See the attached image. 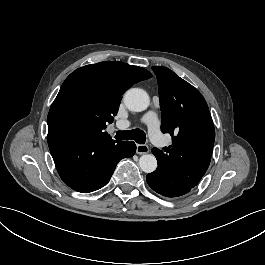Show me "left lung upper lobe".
<instances>
[{"instance_id": "1", "label": "left lung upper lobe", "mask_w": 265, "mask_h": 265, "mask_svg": "<svg viewBox=\"0 0 265 265\" xmlns=\"http://www.w3.org/2000/svg\"><path fill=\"white\" fill-rule=\"evenodd\" d=\"M157 76L162 114L161 130L172 145L152 153L161 166L195 187L206 173L212 156L215 129L202 94L172 70L152 67Z\"/></svg>"}]
</instances>
